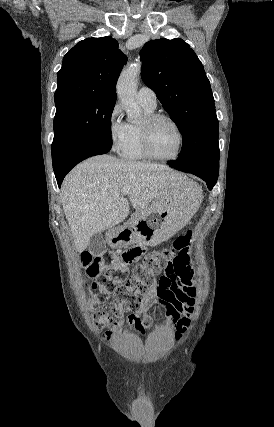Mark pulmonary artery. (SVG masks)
Returning <instances> with one entry per match:
<instances>
[{"label": "pulmonary artery", "mask_w": 274, "mask_h": 427, "mask_svg": "<svg viewBox=\"0 0 274 427\" xmlns=\"http://www.w3.org/2000/svg\"><path fill=\"white\" fill-rule=\"evenodd\" d=\"M138 103L145 109L155 110L157 98L154 91L146 86H142L137 92Z\"/></svg>", "instance_id": "obj_1"}]
</instances>
